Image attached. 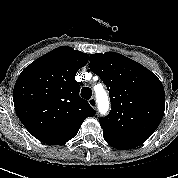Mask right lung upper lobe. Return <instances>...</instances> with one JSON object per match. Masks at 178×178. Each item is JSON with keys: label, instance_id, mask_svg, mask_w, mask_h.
I'll return each instance as SVG.
<instances>
[{"label": "right lung upper lobe", "instance_id": "right-lung-upper-lobe-1", "mask_svg": "<svg viewBox=\"0 0 178 178\" xmlns=\"http://www.w3.org/2000/svg\"><path fill=\"white\" fill-rule=\"evenodd\" d=\"M88 54L68 46L41 56L19 75L13 91L15 111L38 140L58 145L72 139L95 110L79 96L77 71Z\"/></svg>", "mask_w": 178, "mask_h": 178}]
</instances>
